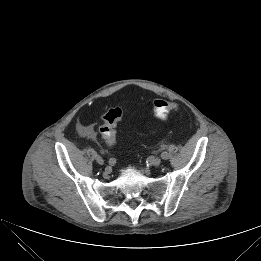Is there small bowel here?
I'll list each match as a JSON object with an SVG mask.
<instances>
[{"mask_svg": "<svg viewBox=\"0 0 261 261\" xmlns=\"http://www.w3.org/2000/svg\"><path fill=\"white\" fill-rule=\"evenodd\" d=\"M78 132L82 137L88 138V139H94L96 137V132L91 126H87L84 124H79Z\"/></svg>", "mask_w": 261, "mask_h": 261, "instance_id": "obj_1", "label": "small bowel"}]
</instances>
